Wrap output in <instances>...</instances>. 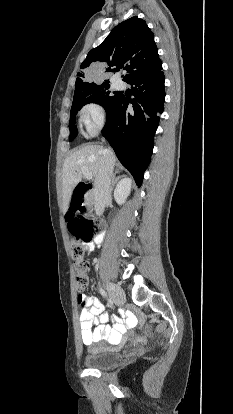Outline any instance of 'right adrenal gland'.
Segmentation results:
<instances>
[{
	"instance_id": "obj_1",
	"label": "right adrenal gland",
	"mask_w": 233,
	"mask_h": 414,
	"mask_svg": "<svg viewBox=\"0 0 233 414\" xmlns=\"http://www.w3.org/2000/svg\"><path fill=\"white\" fill-rule=\"evenodd\" d=\"M118 173H119V171H116V172L113 174V177H112V182H111V191L113 190V188H114L115 184H117V182H119V180H120L121 178H123V176H117V177H116V174H118Z\"/></svg>"
}]
</instances>
